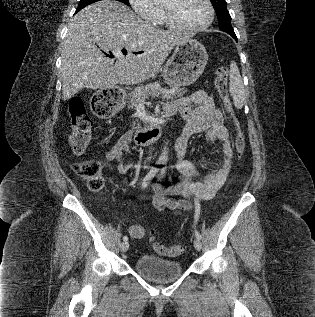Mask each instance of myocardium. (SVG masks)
Segmentation results:
<instances>
[{
    "mask_svg": "<svg viewBox=\"0 0 315 317\" xmlns=\"http://www.w3.org/2000/svg\"><path fill=\"white\" fill-rule=\"evenodd\" d=\"M204 2L208 8V18L204 24H202L200 26H196V27L183 25L175 18L172 11H170L167 8H163V13H164L166 22L171 27H173L177 30L186 31V32H201V31L208 29L211 26V24L213 23V20L215 17V10H214V6H213L211 0H204Z\"/></svg>",
    "mask_w": 315,
    "mask_h": 317,
    "instance_id": "obj_1",
    "label": "myocardium"
}]
</instances>
